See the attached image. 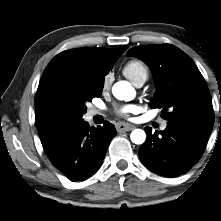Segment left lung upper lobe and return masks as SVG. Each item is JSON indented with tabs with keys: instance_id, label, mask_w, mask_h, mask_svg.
I'll return each mask as SVG.
<instances>
[{
	"instance_id": "left-lung-upper-lobe-1",
	"label": "left lung upper lobe",
	"mask_w": 221,
	"mask_h": 221,
	"mask_svg": "<svg viewBox=\"0 0 221 221\" xmlns=\"http://www.w3.org/2000/svg\"><path fill=\"white\" fill-rule=\"evenodd\" d=\"M152 70L156 92L151 108H162L168 124L184 125L209 136L214 124L212 100L193 60L171 44L136 46L127 52Z\"/></svg>"
}]
</instances>
